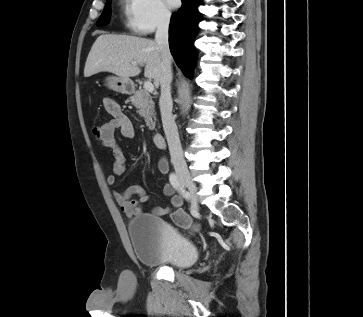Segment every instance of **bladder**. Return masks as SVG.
<instances>
[{"mask_svg":"<svg viewBox=\"0 0 363 317\" xmlns=\"http://www.w3.org/2000/svg\"><path fill=\"white\" fill-rule=\"evenodd\" d=\"M127 232L139 263L183 269L199 257L197 245L165 220L140 214L132 218Z\"/></svg>","mask_w":363,"mask_h":317,"instance_id":"bladder-1","label":"bladder"}]
</instances>
